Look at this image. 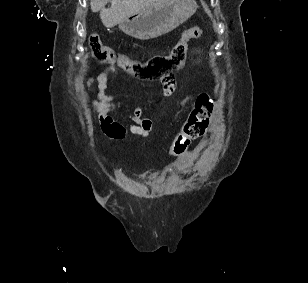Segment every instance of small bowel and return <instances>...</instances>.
<instances>
[{"label":"small bowel","instance_id":"small-bowel-1","mask_svg":"<svg viewBox=\"0 0 308 283\" xmlns=\"http://www.w3.org/2000/svg\"><path fill=\"white\" fill-rule=\"evenodd\" d=\"M109 74H116L115 66L108 65L98 75L89 77L86 81L87 87L94 82L97 83L98 93L97 97L91 102V107L97 115L102 131L112 139H123L127 131L143 138L148 137L154 128V121L144 116L141 106H136L123 115V119L129 122L127 127L113 119L112 114L120 111L121 103L117 101L116 95L107 92ZM174 89L175 86L167 87L163 85L162 98L170 96ZM192 169H194L192 160L187 161L180 167L181 171Z\"/></svg>","mask_w":308,"mask_h":283}]
</instances>
